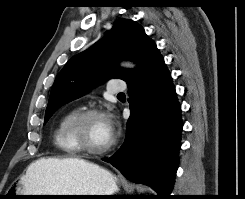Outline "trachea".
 I'll return each mask as SVG.
<instances>
[{
    "instance_id": "3493384b",
    "label": "trachea",
    "mask_w": 245,
    "mask_h": 199,
    "mask_svg": "<svg viewBox=\"0 0 245 199\" xmlns=\"http://www.w3.org/2000/svg\"><path fill=\"white\" fill-rule=\"evenodd\" d=\"M118 96H125V94L124 93H119Z\"/></svg>"
}]
</instances>
